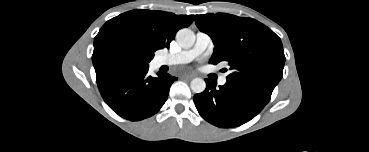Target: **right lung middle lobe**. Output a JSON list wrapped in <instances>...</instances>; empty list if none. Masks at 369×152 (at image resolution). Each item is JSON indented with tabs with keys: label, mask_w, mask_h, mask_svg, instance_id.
Wrapping results in <instances>:
<instances>
[{
	"label": "right lung middle lobe",
	"mask_w": 369,
	"mask_h": 152,
	"mask_svg": "<svg viewBox=\"0 0 369 152\" xmlns=\"http://www.w3.org/2000/svg\"><path fill=\"white\" fill-rule=\"evenodd\" d=\"M152 58L153 56L146 55L130 46H121L114 50L98 46L94 48L92 55L97 81L123 71L148 68V63Z\"/></svg>",
	"instance_id": "1"
}]
</instances>
